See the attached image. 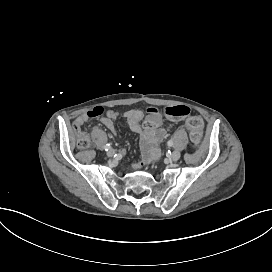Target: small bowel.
Returning <instances> with one entry per match:
<instances>
[{
	"instance_id": "c3829d8e",
	"label": "small bowel",
	"mask_w": 272,
	"mask_h": 272,
	"mask_svg": "<svg viewBox=\"0 0 272 272\" xmlns=\"http://www.w3.org/2000/svg\"><path fill=\"white\" fill-rule=\"evenodd\" d=\"M119 113L114 110H108L106 115L101 117L98 121L100 124L107 127L112 133H115L114 122L117 119ZM123 117L126 119L130 130L141 137V149L143 162L149 163L158 154V143L161 142L167 135L164 128L161 127V120L159 118L158 125L153 128H142L141 121L144 118V113L139 109H129L123 113ZM178 120V119H174ZM79 121L83 124L87 121L85 114L79 115L74 122Z\"/></svg>"
}]
</instances>
